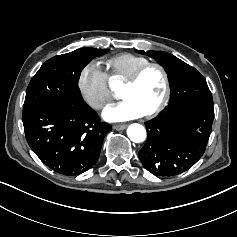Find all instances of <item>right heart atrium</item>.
I'll use <instances>...</instances> for the list:
<instances>
[{"label": "right heart atrium", "instance_id": "1", "mask_svg": "<svg viewBox=\"0 0 237 237\" xmlns=\"http://www.w3.org/2000/svg\"><path fill=\"white\" fill-rule=\"evenodd\" d=\"M78 87L85 102L93 109L101 110L112 100L108 75L95 61L81 69Z\"/></svg>", "mask_w": 237, "mask_h": 237}]
</instances>
